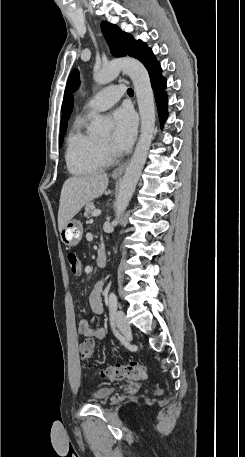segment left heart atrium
<instances>
[{"mask_svg": "<svg viewBox=\"0 0 245 457\" xmlns=\"http://www.w3.org/2000/svg\"><path fill=\"white\" fill-rule=\"evenodd\" d=\"M114 135L112 145L118 150L128 149L134 139L137 119L134 112L127 107H120L113 115Z\"/></svg>", "mask_w": 245, "mask_h": 457, "instance_id": "left-heart-atrium-1", "label": "left heart atrium"}]
</instances>
